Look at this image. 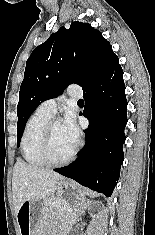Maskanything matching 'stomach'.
<instances>
[{
  "instance_id": "obj_1",
  "label": "stomach",
  "mask_w": 155,
  "mask_h": 235,
  "mask_svg": "<svg viewBox=\"0 0 155 235\" xmlns=\"http://www.w3.org/2000/svg\"><path fill=\"white\" fill-rule=\"evenodd\" d=\"M57 193L53 199L62 201L68 207L82 206L86 197L82 189L71 180H61L57 184ZM46 213V205L41 200L26 201L17 213L20 235H43L40 229Z\"/></svg>"
}]
</instances>
